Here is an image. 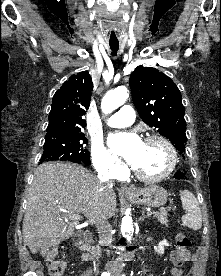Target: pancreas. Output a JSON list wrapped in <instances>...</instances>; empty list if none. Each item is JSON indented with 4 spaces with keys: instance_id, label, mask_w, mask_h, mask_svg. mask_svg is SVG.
<instances>
[{
    "instance_id": "cf45deb5",
    "label": "pancreas",
    "mask_w": 221,
    "mask_h": 276,
    "mask_svg": "<svg viewBox=\"0 0 221 276\" xmlns=\"http://www.w3.org/2000/svg\"><path fill=\"white\" fill-rule=\"evenodd\" d=\"M167 216H168L167 212L156 213L154 215V217H156L162 225H167L168 224Z\"/></svg>"
}]
</instances>
